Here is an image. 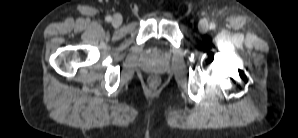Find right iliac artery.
Here are the masks:
<instances>
[{
  "mask_svg": "<svg viewBox=\"0 0 298 138\" xmlns=\"http://www.w3.org/2000/svg\"><path fill=\"white\" fill-rule=\"evenodd\" d=\"M106 21H107V22H111V21H112V17H111V16H107V17H106Z\"/></svg>",
  "mask_w": 298,
  "mask_h": 138,
  "instance_id": "right-iliac-artery-1",
  "label": "right iliac artery"
}]
</instances>
